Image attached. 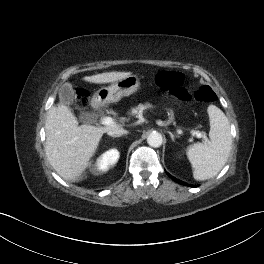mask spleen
Returning <instances> with one entry per match:
<instances>
[{"instance_id":"obj_1","label":"spleen","mask_w":264,"mask_h":264,"mask_svg":"<svg viewBox=\"0 0 264 264\" xmlns=\"http://www.w3.org/2000/svg\"><path fill=\"white\" fill-rule=\"evenodd\" d=\"M207 111L210 141L192 144L186 151L196 180H207L216 176L227 162L232 148L230 123L226 115L215 105H210Z\"/></svg>"}]
</instances>
